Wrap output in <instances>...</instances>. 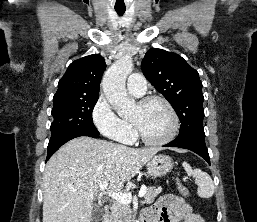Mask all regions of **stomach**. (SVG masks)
I'll list each match as a JSON object with an SVG mask.
<instances>
[{
	"mask_svg": "<svg viewBox=\"0 0 257 222\" xmlns=\"http://www.w3.org/2000/svg\"><path fill=\"white\" fill-rule=\"evenodd\" d=\"M173 160L167 155H155L147 161V169L152 177H162L173 168Z\"/></svg>",
	"mask_w": 257,
	"mask_h": 222,
	"instance_id": "0dacf381",
	"label": "stomach"
}]
</instances>
